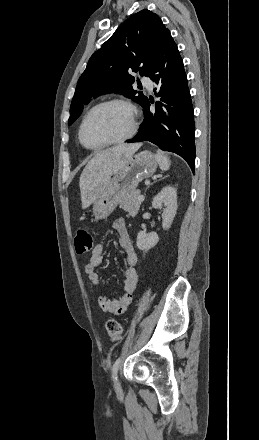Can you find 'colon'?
Listing matches in <instances>:
<instances>
[{"mask_svg":"<svg viewBox=\"0 0 259 440\" xmlns=\"http://www.w3.org/2000/svg\"><path fill=\"white\" fill-rule=\"evenodd\" d=\"M75 250L78 254L89 252L93 248V237L88 227H80L75 236ZM106 329L111 341L119 342L123 338V327L116 320H108Z\"/></svg>","mask_w":259,"mask_h":440,"instance_id":"colon-1","label":"colon"}]
</instances>
